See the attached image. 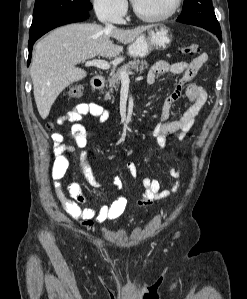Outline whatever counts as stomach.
Returning <instances> with one entry per match:
<instances>
[{"label": "stomach", "instance_id": "obj_1", "mask_svg": "<svg viewBox=\"0 0 247 299\" xmlns=\"http://www.w3.org/2000/svg\"><path fill=\"white\" fill-rule=\"evenodd\" d=\"M172 42V34L166 25H154L148 29L147 35L139 36L131 43L128 54L133 58H145L153 50L167 49Z\"/></svg>", "mask_w": 247, "mask_h": 299}]
</instances>
